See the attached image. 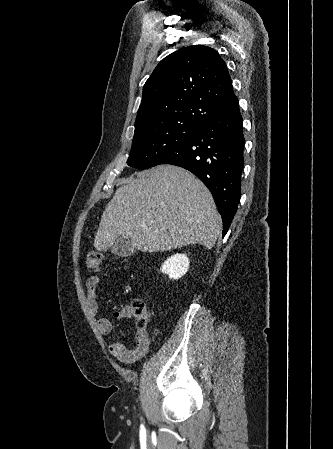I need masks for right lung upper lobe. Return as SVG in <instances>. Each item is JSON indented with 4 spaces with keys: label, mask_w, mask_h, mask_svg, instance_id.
Wrapping results in <instances>:
<instances>
[{
    "label": "right lung upper lobe",
    "mask_w": 333,
    "mask_h": 449,
    "mask_svg": "<svg viewBox=\"0 0 333 449\" xmlns=\"http://www.w3.org/2000/svg\"><path fill=\"white\" fill-rule=\"evenodd\" d=\"M237 104L218 52L203 45L185 47L164 58L146 81L134 136L169 123L202 126Z\"/></svg>",
    "instance_id": "1"
}]
</instances>
